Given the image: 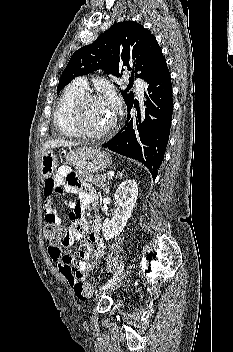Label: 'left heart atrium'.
<instances>
[{
	"label": "left heart atrium",
	"mask_w": 233,
	"mask_h": 352,
	"mask_svg": "<svg viewBox=\"0 0 233 352\" xmlns=\"http://www.w3.org/2000/svg\"><path fill=\"white\" fill-rule=\"evenodd\" d=\"M105 104L107 107L115 113V111L118 109V100L114 95H109L104 99Z\"/></svg>",
	"instance_id": "39dd6f15"
}]
</instances>
